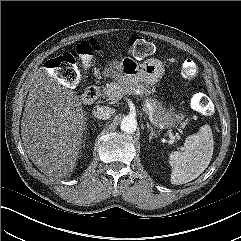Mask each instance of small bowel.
Listing matches in <instances>:
<instances>
[{"mask_svg": "<svg viewBox=\"0 0 241 241\" xmlns=\"http://www.w3.org/2000/svg\"><path fill=\"white\" fill-rule=\"evenodd\" d=\"M78 55L80 57L82 66L84 68H89L92 64V46L89 43H81L77 48ZM118 62L114 61L113 66H116Z\"/></svg>", "mask_w": 241, "mask_h": 241, "instance_id": "small-bowel-1", "label": "small bowel"}]
</instances>
